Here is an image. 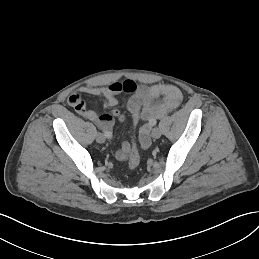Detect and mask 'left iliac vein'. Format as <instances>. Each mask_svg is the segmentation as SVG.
Segmentation results:
<instances>
[{
  "label": "left iliac vein",
  "instance_id": "1",
  "mask_svg": "<svg viewBox=\"0 0 259 259\" xmlns=\"http://www.w3.org/2000/svg\"><path fill=\"white\" fill-rule=\"evenodd\" d=\"M161 136V131L159 128H154L152 130V137L158 139Z\"/></svg>",
  "mask_w": 259,
  "mask_h": 259
}]
</instances>
